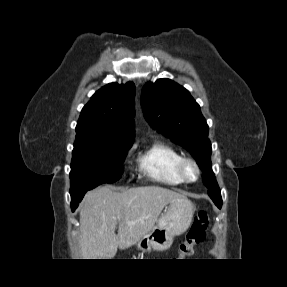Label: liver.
Segmentation results:
<instances>
[{"label": "liver", "mask_w": 287, "mask_h": 287, "mask_svg": "<svg viewBox=\"0 0 287 287\" xmlns=\"http://www.w3.org/2000/svg\"><path fill=\"white\" fill-rule=\"evenodd\" d=\"M180 198L186 197L159 186L123 192L103 186L88 192L80 206L79 246L83 259H112L118 248L136 244L152 230L163 208Z\"/></svg>", "instance_id": "obj_1"}]
</instances>
